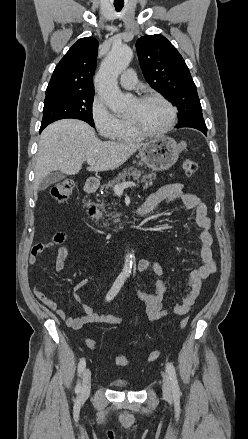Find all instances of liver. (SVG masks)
<instances>
[{
  "label": "liver",
  "mask_w": 248,
  "mask_h": 439,
  "mask_svg": "<svg viewBox=\"0 0 248 439\" xmlns=\"http://www.w3.org/2000/svg\"><path fill=\"white\" fill-rule=\"evenodd\" d=\"M144 143L101 141L95 130L77 119H62L48 125L40 135L34 167V197L40 182L51 172L77 174L82 164L95 160L89 170L108 171L121 166Z\"/></svg>",
  "instance_id": "6515ba94"
}]
</instances>
